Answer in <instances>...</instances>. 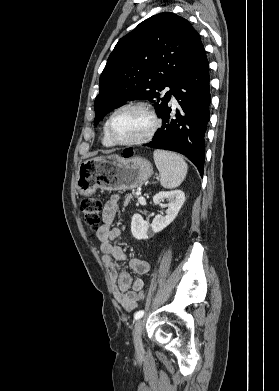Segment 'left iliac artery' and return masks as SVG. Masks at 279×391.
<instances>
[{
	"instance_id": "obj_1",
	"label": "left iliac artery",
	"mask_w": 279,
	"mask_h": 391,
	"mask_svg": "<svg viewBox=\"0 0 279 391\" xmlns=\"http://www.w3.org/2000/svg\"><path fill=\"white\" fill-rule=\"evenodd\" d=\"M143 315H144V311H143V310L137 311V312L134 314V319H135V320H138V319H140Z\"/></svg>"
}]
</instances>
